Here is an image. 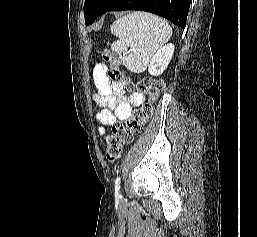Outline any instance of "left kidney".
<instances>
[{"instance_id": "5707ae66", "label": "left kidney", "mask_w": 257, "mask_h": 237, "mask_svg": "<svg viewBox=\"0 0 257 237\" xmlns=\"http://www.w3.org/2000/svg\"><path fill=\"white\" fill-rule=\"evenodd\" d=\"M173 53L174 45L171 43L159 49L148 68V72L153 76L161 75L172 59Z\"/></svg>"}]
</instances>
